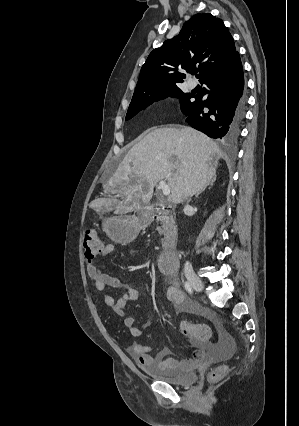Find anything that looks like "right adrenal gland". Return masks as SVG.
Returning a JSON list of instances; mask_svg holds the SVG:
<instances>
[{
    "label": "right adrenal gland",
    "mask_w": 299,
    "mask_h": 426,
    "mask_svg": "<svg viewBox=\"0 0 299 426\" xmlns=\"http://www.w3.org/2000/svg\"><path fill=\"white\" fill-rule=\"evenodd\" d=\"M215 180H216V178L214 177V178L210 181L209 185H213V183L215 182ZM202 191H203V190H202ZM202 191L198 192V193L195 195V197H198V195H199Z\"/></svg>",
    "instance_id": "2a0ac1e0"
}]
</instances>
